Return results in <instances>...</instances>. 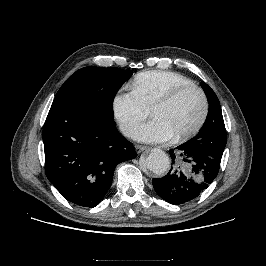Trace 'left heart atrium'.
Segmentation results:
<instances>
[{"instance_id":"obj_1","label":"left heart atrium","mask_w":266,"mask_h":266,"mask_svg":"<svg viewBox=\"0 0 266 266\" xmlns=\"http://www.w3.org/2000/svg\"><path fill=\"white\" fill-rule=\"evenodd\" d=\"M135 139L142 142L160 143L171 139L174 134L164 121L154 118L134 130Z\"/></svg>"}]
</instances>
